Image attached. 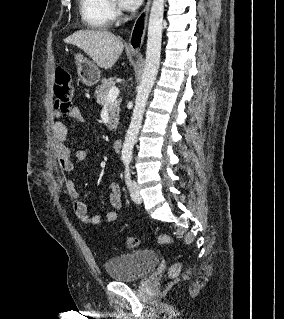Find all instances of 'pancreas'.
<instances>
[{
	"label": "pancreas",
	"mask_w": 284,
	"mask_h": 319,
	"mask_svg": "<svg viewBox=\"0 0 284 319\" xmlns=\"http://www.w3.org/2000/svg\"><path fill=\"white\" fill-rule=\"evenodd\" d=\"M115 86L114 78L102 79L101 84L96 87L95 98L99 105H108L109 111V125L108 129L115 130L119 121V111H120V100H115L113 102H107V95L112 87Z\"/></svg>",
	"instance_id": "pancreas-1"
}]
</instances>
